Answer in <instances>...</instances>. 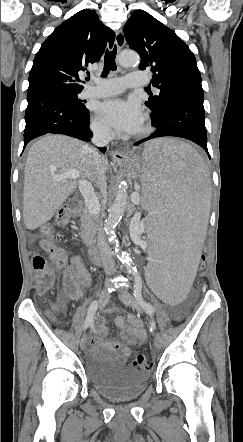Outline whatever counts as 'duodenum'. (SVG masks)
I'll return each instance as SVG.
<instances>
[{"mask_svg":"<svg viewBox=\"0 0 243 442\" xmlns=\"http://www.w3.org/2000/svg\"><path fill=\"white\" fill-rule=\"evenodd\" d=\"M79 208H80V201L79 200L76 199V200H73L70 202L69 211L72 214L77 213L79 211ZM88 258H89V261L93 264L100 265L102 263L101 254L95 248H91L88 251Z\"/></svg>","mask_w":243,"mask_h":442,"instance_id":"410a0bca","label":"duodenum"}]
</instances>
